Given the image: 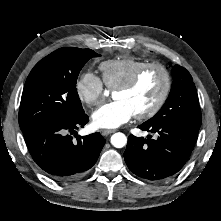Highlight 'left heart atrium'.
Returning <instances> with one entry per match:
<instances>
[{
	"label": "left heart atrium",
	"instance_id": "39dd6f15",
	"mask_svg": "<svg viewBox=\"0 0 221 221\" xmlns=\"http://www.w3.org/2000/svg\"><path fill=\"white\" fill-rule=\"evenodd\" d=\"M134 115L133 110L125 101L114 100L94 111L92 121L96 128L113 129L128 122Z\"/></svg>",
	"mask_w": 221,
	"mask_h": 221
}]
</instances>
